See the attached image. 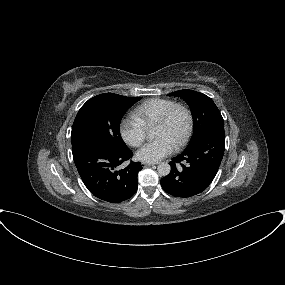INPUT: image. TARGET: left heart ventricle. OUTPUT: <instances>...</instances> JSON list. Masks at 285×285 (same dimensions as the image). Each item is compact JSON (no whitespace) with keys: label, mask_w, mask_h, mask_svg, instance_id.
Returning a JSON list of instances; mask_svg holds the SVG:
<instances>
[{"label":"left heart ventricle","mask_w":285,"mask_h":285,"mask_svg":"<svg viewBox=\"0 0 285 285\" xmlns=\"http://www.w3.org/2000/svg\"><path fill=\"white\" fill-rule=\"evenodd\" d=\"M186 127V118L183 112L178 111L171 122L167 125H156L154 136L156 138L165 136L169 138L175 145L182 138Z\"/></svg>","instance_id":"left-heart-ventricle-1"}]
</instances>
